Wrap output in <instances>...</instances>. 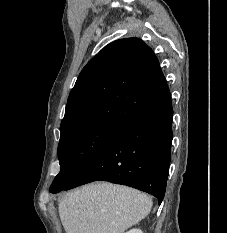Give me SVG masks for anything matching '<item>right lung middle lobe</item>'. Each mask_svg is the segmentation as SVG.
Listing matches in <instances>:
<instances>
[{
    "label": "right lung middle lobe",
    "mask_w": 227,
    "mask_h": 233,
    "mask_svg": "<svg viewBox=\"0 0 227 233\" xmlns=\"http://www.w3.org/2000/svg\"><path fill=\"white\" fill-rule=\"evenodd\" d=\"M116 132L103 128H82L61 134L58 145L61 170L49 191L57 193L68 186Z\"/></svg>",
    "instance_id": "obj_1"
}]
</instances>
